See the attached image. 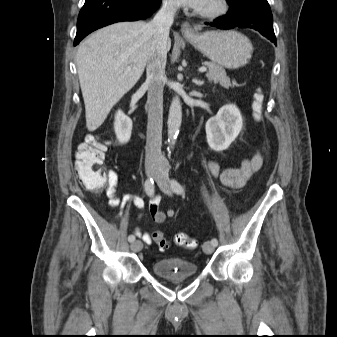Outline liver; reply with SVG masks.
Listing matches in <instances>:
<instances>
[{
  "label": "liver",
  "mask_w": 337,
  "mask_h": 337,
  "mask_svg": "<svg viewBox=\"0 0 337 337\" xmlns=\"http://www.w3.org/2000/svg\"><path fill=\"white\" fill-rule=\"evenodd\" d=\"M146 25L143 21L115 23L79 46L76 63L89 131L103 124L112 107L142 76L153 38Z\"/></svg>",
  "instance_id": "1"
}]
</instances>
